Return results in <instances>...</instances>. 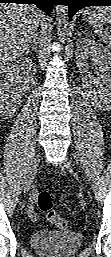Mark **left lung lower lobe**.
Wrapping results in <instances>:
<instances>
[{"label":"left lung lower lobe","mask_w":111,"mask_h":257,"mask_svg":"<svg viewBox=\"0 0 111 257\" xmlns=\"http://www.w3.org/2000/svg\"><path fill=\"white\" fill-rule=\"evenodd\" d=\"M70 19L81 8L86 6H111V0H68Z\"/></svg>","instance_id":"0a47b994"}]
</instances>
